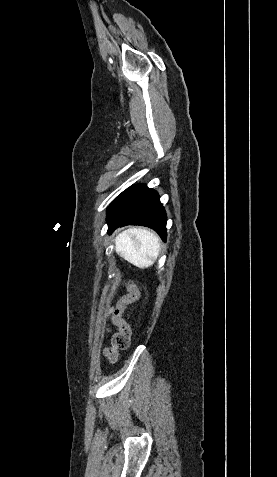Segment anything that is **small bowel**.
Returning a JSON list of instances; mask_svg holds the SVG:
<instances>
[{"mask_svg":"<svg viewBox=\"0 0 277 477\" xmlns=\"http://www.w3.org/2000/svg\"><path fill=\"white\" fill-rule=\"evenodd\" d=\"M115 308H111L110 311H109V314L111 315V319H112V311L114 310ZM119 327V326H118Z\"/></svg>","mask_w":277,"mask_h":477,"instance_id":"1","label":"small bowel"}]
</instances>
